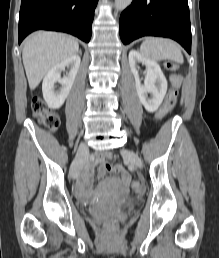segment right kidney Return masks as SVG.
Instances as JSON below:
<instances>
[{
    "instance_id": "right-kidney-1",
    "label": "right kidney",
    "mask_w": 219,
    "mask_h": 258,
    "mask_svg": "<svg viewBox=\"0 0 219 258\" xmlns=\"http://www.w3.org/2000/svg\"><path fill=\"white\" fill-rule=\"evenodd\" d=\"M80 62L81 59L78 55L71 56L54 66L44 77L42 92L44 100L50 108L58 109L64 104L74 83ZM66 67L70 68V71L67 76L61 78V72ZM57 82L61 84L59 91H55Z\"/></svg>"
}]
</instances>
